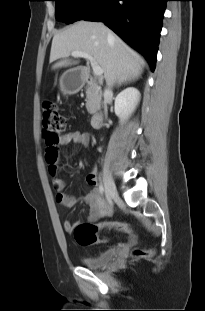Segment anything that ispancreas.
Returning <instances> with one entry per match:
<instances>
[{
    "label": "pancreas",
    "instance_id": "1",
    "mask_svg": "<svg viewBox=\"0 0 205 311\" xmlns=\"http://www.w3.org/2000/svg\"><path fill=\"white\" fill-rule=\"evenodd\" d=\"M101 90L94 80L88 82L86 87V109L88 113L94 114L100 108Z\"/></svg>",
    "mask_w": 205,
    "mask_h": 311
}]
</instances>
